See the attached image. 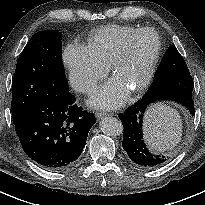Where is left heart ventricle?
<instances>
[{
    "instance_id": "b2bd125f",
    "label": "left heart ventricle",
    "mask_w": 205,
    "mask_h": 205,
    "mask_svg": "<svg viewBox=\"0 0 205 205\" xmlns=\"http://www.w3.org/2000/svg\"><path fill=\"white\" fill-rule=\"evenodd\" d=\"M157 46L152 33H143L131 44L129 56L120 65L115 79L125 88L131 89L138 85L145 76L148 63Z\"/></svg>"
}]
</instances>
